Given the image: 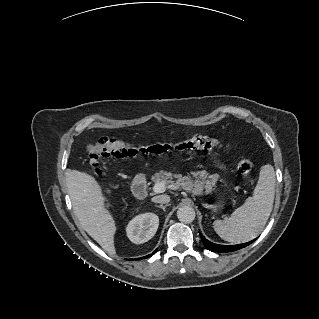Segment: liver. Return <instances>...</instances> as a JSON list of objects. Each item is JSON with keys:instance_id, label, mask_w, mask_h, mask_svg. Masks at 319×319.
Segmentation results:
<instances>
[{"instance_id": "6515ba94", "label": "liver", "mask_w": 319, "mask_h": 319, "mask_svg": "<svg viewBox=\"0 0 319 319\" xmlns=\"http://www.w3.org/2000/svg\"><path fill=\"white\" fill-rule=\"evenodd\" d=\"M67 187L82 228L103 250L115 254L114 235L117 227L105 208L107 199L99 183L87 173L71 170L67 173Z\"/></svg>"}]
</instances>
